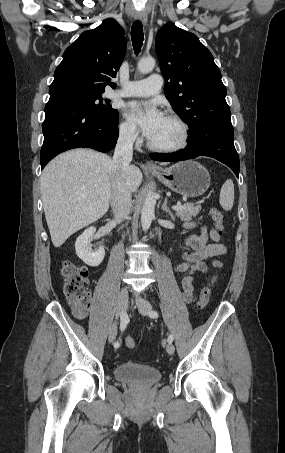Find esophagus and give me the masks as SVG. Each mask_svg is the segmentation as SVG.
Instances as JSON below:
<instances>
[{"label": "esophagus", "instance_id": "34e87169", "mask_svg": "<svg viewBox=\"0 0 285 453\" xmlns=\"http://www.w3.org/2000/svg\"><path fill=\"white\" fill-rule=\"evenodd\" d=\"M135 17L142 22L143 25L147 24V14L145 11H139L135 14ZM147 168L149 169H156L157 166L152 162L146 163Z\"/></svg>", "mask_w": 285, "mask_h": 453}]
</instances>
